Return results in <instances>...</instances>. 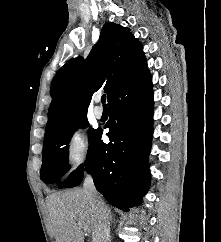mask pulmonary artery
Masks as SVG:
<instances>
[{
  "label": "pulmonary artery",
  "instance_id": "e3ab8cb5",
  "mask_svg": "<svg viewBox=\"0 0 221 242\" xmlns=\"http://www.w3.org/2000/svg\"><path fill=\"white\" fill-rule=\"evenodd\" d=\"M99 101H100V98L95 99L96 105L93 109V114L97 119H100L103 116V109L98 105Z\"/></svg>",
  "mask_w": 221,
  "mask_h": 242
}]
</instances>
